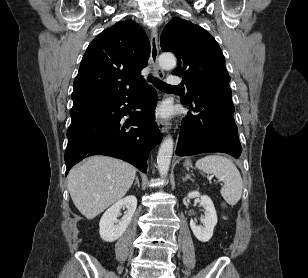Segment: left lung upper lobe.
I'll list each match as a JSON object with an SVG mask.
<instances>
[{"instance_id": "left-lung-upper-lobe-1", "label": "left lung upper lobe", "mask_w": 308, "mask_h": 278, "mask_svg": "<svg viewBox=\"0 0 308 278\" xmlns=\"http://www.w3.org/2000/svg\"><path fill=\"white\" fill-rule=\"evenodd\" d=\"M161 49L177 57L174 75L183 76L188 93L184 101L191 100L202 91L229 84L230 76L225 58L216 40L202 27L180 18L172 19L164 28Z\"/></svg>"}]
</instances>
